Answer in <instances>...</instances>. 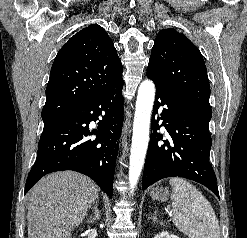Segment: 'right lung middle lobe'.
<instances>
[{
	"label": "right lung middle lobe",
	"mask_w": 247,
	"mask_h": 238,
	"mask_svg": "<svg viewBox=\"0 0 247 238\" xmlns=\"http://www.w3.org/2000/svg\"><path fill=\"white\" fill-rule=\"evenodd\" d=\"M52 120H49V121H44V124H47V123H49V122H51Z\"/></svg>",
	"instance_id": "dd1d6c3e"
}]
</instances>
